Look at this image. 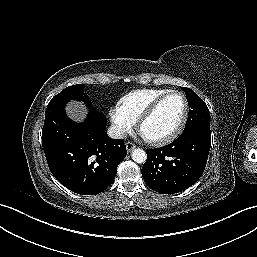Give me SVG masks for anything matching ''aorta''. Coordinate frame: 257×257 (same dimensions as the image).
<instances>
[{
    "label": "aorta",
    "instance_id": "762f6f07",
    "mask_svg": "<svg viewBox=\"0 0 257 257\" xmlns=\"http://www.w3.org/2000/svg\"><path fill=\"white\" fill-rule=\"evenodd\" d=\"M132 159L136 163H144L147 159L146 152L140 148L134 149L131 154Z\"/></svg>",
    "mask_w": 257,
    "mask_h": 257
}]
</instances>
